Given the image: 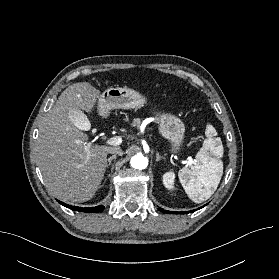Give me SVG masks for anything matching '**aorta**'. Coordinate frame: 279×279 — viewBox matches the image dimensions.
Masks as SVG:
<instances>
[{"mask_svg": "<svg viewBox=\"0 0 279 279\" xmlns=\"http://www.w3.org/2000/svg\"><path fill=\"white\" fill-rule=\"evenodd\" d=\"M130 164L135 169H145L148 165V159L142 154H137L131 158Z\"/></svg>", "mask_w": 279, "mask_h": 279, "instance_id": "762f6f07", "label": "aorta"}]
</instances>
